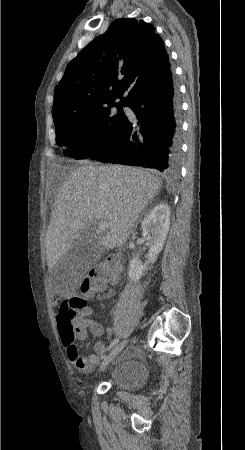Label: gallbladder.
Instances as JSON below:
<instances>
[{
    "label": "gallbladder",
    "mask_w": 245,
    "mask_h": 450,
    "mask_svg": "<svg viewBox=\"0 0 245 450\" xmlns=\"http://www.w3.org/2000/svg\"><path fill=\"white\" fill-rule=\"evenodd\" d=\"M105 248L96 238L88 233L78 237L71 249L61 258L64 265L72 274H80L85 268L94 264L104 253Z\"/></svg>",
    "instance_id": "1"
}]
</instances>
